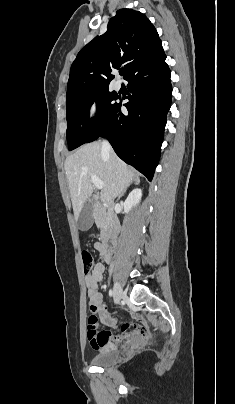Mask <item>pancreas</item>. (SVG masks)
Masks as SVG:
<instances>
[{"mask_svg": "<svg viewBox=\"0 0 235 404\" xmlns=\"http://www.w3.org/2000/svg\"><path fill=\"white\" fill-rule=\"evenodd\" d=\"M95 221H96V224H97V227H98V228H104V222H103V219H102V215H101V214H97V215H96Z\"/></svg>", "mask_w": 235, "mask_h": 404, "instance_id": "cf45deb5", "label": "pancreas"}]
</instances>
